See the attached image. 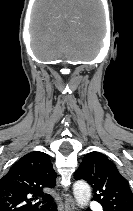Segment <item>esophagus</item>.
<instances>
[{
    "instance_id": "1",
    "label": "esophagus",
    "mask_w": 133,
    "mask_h": 211,
    "mask_svg": "<svg viewBox=\"0 0 133 211\" xmlns=\"http://www.w3.org/2000/svg\"><path fill=\"white\" fill-rule=\"evenodd\" d=\"M64 208L65 211H76L74 199L68 194H64Z\"/></svg>"
}]
</instances>
